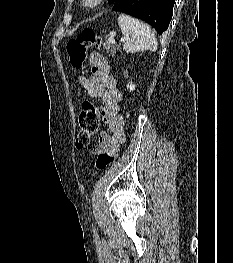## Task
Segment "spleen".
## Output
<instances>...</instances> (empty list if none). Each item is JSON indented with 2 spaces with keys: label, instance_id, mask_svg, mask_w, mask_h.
Listing matches in <instances>:
<instances>
[{
  "label": "spleen",
  "instance_id": "1",
  "mask_svg": "<svg viewBox=\"0 0 233 263\" xmlns=\"http://www.w3.org/2000/svg\"><path fill=\"white\" fill-rule=\"evenodd\" d=\"M117 21L126 40L123 45L126 53L146 50L156 52L158 43L147 24L122 13L118 15Z\"/></svg>",
  "mask_w": 233,
  "mask_h": 263
}]
</instances>
